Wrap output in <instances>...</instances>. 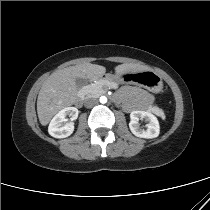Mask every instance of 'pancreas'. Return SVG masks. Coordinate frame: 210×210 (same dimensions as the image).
<instances>
[{"label":"pancreas","mask_w":210,"mask_h":210,"mask_svg":"<svg viewBox=\"0 0 210 210\" xmlns=\"http://www.w3.org/2000/svg\"><path fill=\"white\" fill-rule=\"evenodd\" d=\"M103 82H108V86L110 87H115L117 85L115 82L112 81V79H107L106 81H103ZM103 93H104V85L102 82L99 81L98 83L89 85V88H88L89 97H99ZM150 110L157 111L158 108L150 107Z\"/></svg>","instance_id":"cf45deb5"}]
</instances>
